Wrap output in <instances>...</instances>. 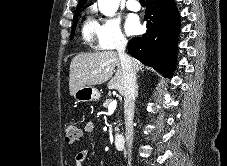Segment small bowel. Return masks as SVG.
<instances>
[{
	"instance_id": "c3829d8e",
	"label": "small bowel",
	"mask_w": 227,
	"mask_h": 166,
	"mask_svg": "<svg viewBox=\"0 0 227 166\" xmlns=\"http://www.w3.org/2000/svg\"><path fill=\"white\" fill-rule=\"evenodd\" d=\"M95 130H96V127H95L94 123L89 122L86 124V126H85L86 133L92 134L95 132ZM88 154H89L88 149H84V150L80 151L78 154H76L75 161L77 163V166H81L82 162L86 160Z\"/></svg>"
}]
</instances>
